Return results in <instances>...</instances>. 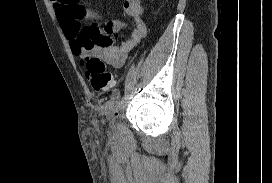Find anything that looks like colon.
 <instances>
[{
    "instance_id": "5ec220e1",
    "label": "colon",
    "mask_w": 272,
    "mask_h": 183,
    "mask_svg": "<svg viewBox=\"0 0 272 183\" xmlns=\"http://www.w3.org/2000/svg\"><path fill=\"white\" fill-rule=\"evenodd\" d=\"M81 63L86 69V78L95 91H107L114 86L116 73L110 71L104 62L95 57H88Z\"/></svg>"
}]
</instances>
